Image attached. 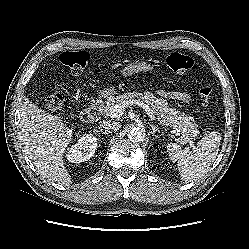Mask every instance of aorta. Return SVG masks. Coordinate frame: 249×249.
Returning a JSON list of instances; mask_svg holds the SVG:
<instances>
[{
    "instance_id": "aorta-1",
    "label": "aorta",
    "mask_w": 249,
    "mask_h": 249,
    "mask_svg": "<svg viewBox=\"0 0 249 249\" xmlns=\"http://www.w3.org/2000/svg\"><path fill=\"white\" fill-rule=\"evenodd\" d=\"M145 130L141 127H133L128 132V138L131 142L139 143L145 139Z\"/></svg>"
}]
</instances>
